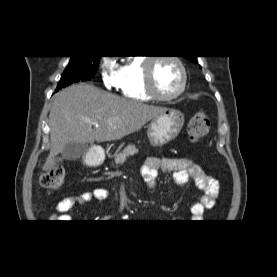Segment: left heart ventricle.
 <instances>
[{"mask_svg":"<svg viewBox=\"0 0 277 277\" xmlns=\"http://www.w3.org/2000/svg\"><path fill=\"white\" fill-rule=\"evenodd\" d=\"M156 90L164 96L178 91L181 85V73L177 64L169 59H159L153 64Z\"/></svg>","mask_w":277,"mask_h":277,"instance_id":"1","label":"left heart ventricle"}]
</instances>
